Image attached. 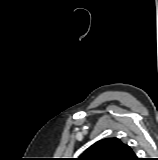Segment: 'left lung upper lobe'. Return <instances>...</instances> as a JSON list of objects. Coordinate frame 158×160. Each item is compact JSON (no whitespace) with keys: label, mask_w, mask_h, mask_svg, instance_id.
Wrapping results in <instances>:
<instances>
[{"label":"left lung upper lobe","mask_w":158,"mask_h":160,"mask_svg":"<svg viewBox=\"0 0 158 160\" xmlns=\"http://www.w3.org/2000/svg\"><path fill=\"white\" fill-rule=\"evenodd\" d=\"M135 153L118 138L102 139L86 149L77 160H133Z\"/></svg>","instance_id":"obj_1"}]
</instances>
